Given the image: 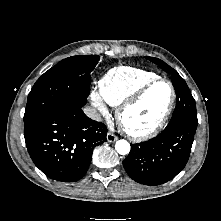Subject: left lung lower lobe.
I'll return each instance as SVG.
<instances>
[{
  "label": "left lung lower lobe",
  "instance_id": "obj_1",
  "mask_svg": "<svg viewBox=\"0 0 221 221\" xmlns=\"http://www.w3.org/2000/svg\"><path fill=\"white\" fill-rule=\"evenodd\" d=\"M187 102L184 96H176L175 109H183ZM196 129L184 123L167 125L156 137L131 144V151L123 161L126 172L136 182L150 186L171 180L189 159Z\"/></svg>",
  "mask_w": 221,
  "mask_h": 221
}]
</instances>
